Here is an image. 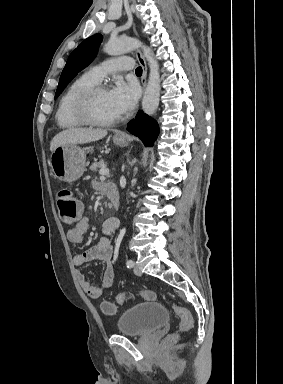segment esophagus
Returning <instances> with one entry per match:
<instances>
[{
	"label": "esophagus",
	"mask_w": 283,
	"mask_h": 384,
	"mask_svg": "<svg viewBox=\"0 0 283 384\" xmlns=\"http://www.w3.org/2000/svg\"><path fill=\"white\" fill-rule=\"evenodd\" d=\"M135 54H136L138 62L140 63V65L142 67L141 83H142L143 88L145 89L146 85H147V82H146V77H147L146 62H145V59H144V57H143V55L139 49H136ZM116 135L119 137H123V138L126 137V135L123 132H117Z\"/></svg>",
	"instance_id": "34e87169"
}]
</instances>
